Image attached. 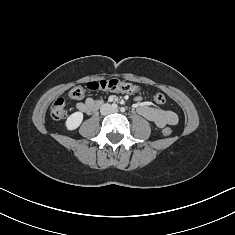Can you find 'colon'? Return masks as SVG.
I'll return each mask as SVG.
<instances>
[{
    "mask_svg": "<svg viewBox=\"0 0 235 235\" xmlns=\"http://www.w3.org/2000/svg\"><path fill=\"white\" fill-rule=\"evenodd\" d=\"M140 88L130 82L121 81L116 78L111 79H102V80H95L90 81L86 84H79L73 87L70 92L69 96L72 99H82L87 91H113V92H121V93H135L138 92ZM153 100L157 104H164L166 102V97L163 94H155L153 96ZM68 113L67 104L64 99L59 98L57 99L51 106V116L56 119L60 120L66 117ZM172 133L171 128L165 127L162 130V134L164 136H170Z\"/></svg>",
    "mask_w": 235,
    "mask_h": 235,
    "instance_id": "5ec220e1",
    "label": "colon"
}]
</instances>
